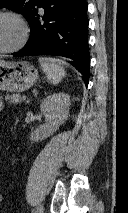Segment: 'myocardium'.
Here are the masks:
<instances>
[{
  "instance_id": "obj_1",
  "label": "myocardium",
  "mask_w": 128,
  "mask_h": 213,
  "mask_svg": "<svg viewBox=\"0 0 128 213\" xmlns=\"http://www.w3.org/2000/svg\"><path fill=\"white\" fill-rule=\"evenodd\" d=\"M0 16H7L14 19L21 29V36L18 42L10 48L0 50V54H11L19 51L24 47L29 38V27L27 22L19 13L12 10H0Z\"/></svg>"
}]
</instances>
